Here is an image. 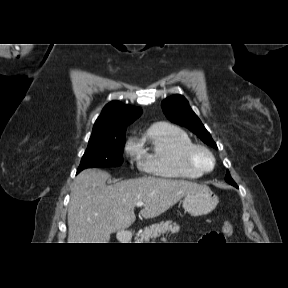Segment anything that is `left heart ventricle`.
<instances>
[{
  "label": "left heart ventricle",
  "mask_w": 288,
  "mask_h": 288,
  "mask_svg": "<svg viewBox=\"0 0 288 288\" xmlns=\"http://www.w3.org/2000/svg\"><path fill=\"white\" fill-rule=\"evenodd\" d=\"M197 160L203 167L209 168L211 166V160L209 156L205 153H198Z\"/></svg>",
  "instance_id": "b2bd125f"
}]
</instances>
